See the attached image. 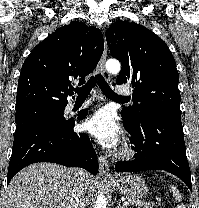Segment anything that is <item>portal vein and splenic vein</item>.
Instances as JSON below:
<instances>
[{
	"label": "portal vein and splenic vein",
	"instance_id": "portal-vein-and-splenic-vein-1",
	"mask_svg": "<svg viewBox=\"0 0 199 208\" xmlns=\"http://www.w3.org/2000/svg\"><path fill=\"white\" fill-rule=\"evenodd\" d=\"M123 206H124V207H128V206H129V203H128V202H125V203L123 204Z\"/></svg>",
	"mask_w": 199,
	"mask_h": 208
}]
</instances>
